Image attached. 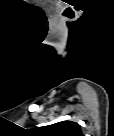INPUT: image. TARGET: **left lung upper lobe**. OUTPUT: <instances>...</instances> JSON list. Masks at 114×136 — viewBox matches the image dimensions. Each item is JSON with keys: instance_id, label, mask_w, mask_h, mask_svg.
<instances>
[{"instance_id": "obj_1", "label": "left lung upper lobe", "mask_w": 114, "mask_h": 136, "mask_svg": "<svg viewBox=\"0 0 114 136\" xmlns=\"http://www.w3.org/2000/svg\"><path fill=\"white\" fill-rule=\"evenodd\" d=\"M40 136H82L81 127L72 121H62L36 129Z\"/></svg>"}]
</instances>
